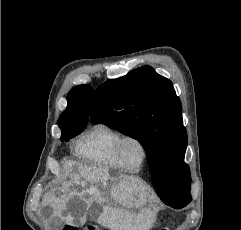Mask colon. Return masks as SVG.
<instances>
[{"instance_id":"5ec220e1","label":"colon","mask_w":241,"mask_h":230,"mask_svg":"<svg viewBox=\"0 0 241 230\" xmlns=\"http://www.w3.org/2000/svg\"><path fill=\"white\" fill-rule=\"evenodd\" d=\"M63 230H78V229L75 228V227L66 226V227L63 228ZM162 230H164V229H162Z\"/></svg>"}]
</instances>
